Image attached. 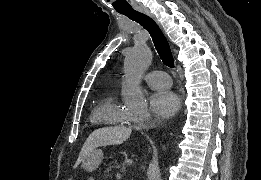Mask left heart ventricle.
Returning <instances> with one entry per match:
<instances>
[{
    "mask_svg": "<svg viewBox=\"0 0 261 180\" xmlns=\"http://www.w3.org/2000/svg\"><path fill=\"white\" fill-rule=\"evenodd\" d=\"M125 113H126L128 118H135V117L138 116L136 113H132V112H125Z\"/></svg>",
    "mask_w": 261,
    "mask_h": 180,
    "instance_id": "left-heart-ventricle-1",
    "label": "left heart ventricle"
}]
</instances>
